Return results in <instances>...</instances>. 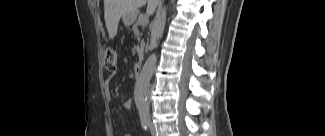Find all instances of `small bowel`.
Wrapping results in <instances>:
<instances>
[{
    "label": "small bowel",
    "mask_w": 325,
    "mask_h": 136,
    "mask_svg": "<svg viewBox=\"0 0 325 136\" xmlns=\"http://www.w3.org/2000/svg\"><path fill=\"white\" fill-rule=\"evenodd\" d=\"M105 92H106V94H107L108 97H111L112 92H111V89H110V79H108V80L105 82ZM123 106H124V108H125L126 110H129V109H131V107H132V102H131L130 100H128V101H126V102L124 103Z\"/></svg>",
    "instance_id": "c3829d8e"
}]
</instances>
